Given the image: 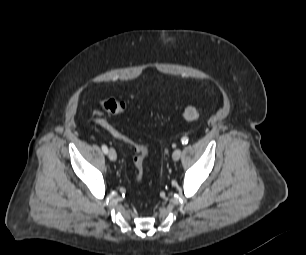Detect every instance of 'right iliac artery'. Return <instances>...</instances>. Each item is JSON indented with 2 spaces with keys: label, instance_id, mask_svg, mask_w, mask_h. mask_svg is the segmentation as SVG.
I'll return each instance as SVG.
<instances>
[{
  "label": "right iliac artery",
  "instance_id": "1",
  "mask_svg": "<svg viewBox=\"0 0 306 255\" xmlns=\"http://www.w3.org/2000/svg\"><path fill=\"white\" fill-rule=\"evenodd\" d=\"M102 151L107 154L108 153V148L106 145H102Z\"/></svg>",
  "mask_w": 306,
  "mask_h": 255
}]
</instances>
